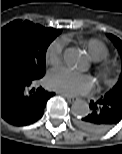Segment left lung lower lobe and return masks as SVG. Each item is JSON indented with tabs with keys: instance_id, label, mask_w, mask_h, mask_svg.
Masks as SVG:
<instances>
[{
	"instance_id": "obj_1",
	"label": "left lung lower lobe",
	"mask_w": 122,
	"mask_h": 154,
	"mask_svg": "<svg viewBox=\"0 0 122 154\" xmlns=\"http://www.w3.org/2000/svg\"><path fill=\"white\" fill-rule=\"evenodd\" d=\"M89 107V114L77 122V125L87 132H105L122 119V104L109 93L97 101H91Z\"/></svg>"
}]
</instances>
